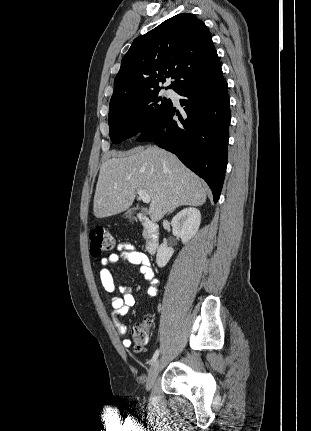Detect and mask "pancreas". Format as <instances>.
I'll return each mask as SVG.
<instances>
[{"instance_id":"1","label":"pancreas","mask_w":311,"mask_h":431,"mask_svg":"<svg viewBox=\"0 0 311 431\" xmlns=\"http://www.w3.org/2000/svg\"><path fill=\"white\" fill-rule=\"evenodd\" d=\"M142 235H143L144 239H147V237H146V235H147V233H146V229H143V233H142Z\"/></svg>"}]
</instances>
